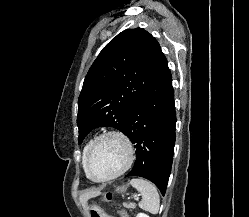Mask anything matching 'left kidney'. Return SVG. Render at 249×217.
<instances>
[{"mask_svg":"<svg viewBox=\"0 0 249 217\" xmlns=\"http://www.w3.org/2000/svg\"><path fill=\"white\" fill-rule=\"evenodd\" d=\"M136 217H150V216H148V215L145 214V213H139V214H137Z\"/></svg>","mask_w":249,"mask_h":217,"instance_id":"1","label":"left kidney"}]
</instances>
